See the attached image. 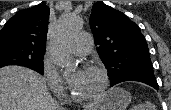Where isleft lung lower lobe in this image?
Masks as SVG:
<instances>
[{
    "label": "left lung lower lobe",
    "mask_w": 171,
    "mask_h": 110,
    "mask_svg": "<svg viewBox=\"0 0 171 110\" xmlns=\"http://www.w3.org/2000/svg\"><path fill=\"white\" fill-rule=\"evenodd\" d=\"M124 81H138V82H143L145 84H148V85L152 86L156 90L159 89V86H158V83H157L156 79H150V78H129V79L122 80L120 82H124ZM120 82H118V83H120ZM118 83H116V84H118ZM116 84H113L111 86H114Z\"/></svg>",
    "instance_id": "left-lung-lower-lobe-1"
}]
</instances>
